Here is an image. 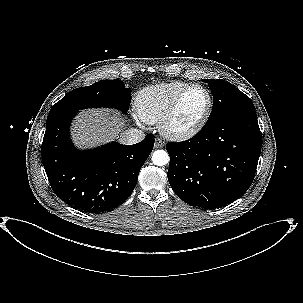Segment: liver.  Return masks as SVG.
<instances>
[{
    "instance_id": "6515ba94",
    "label": "liver",
    "mask_w": 303,
    "mask_h": 303,
    "mask_svg": "<svg viewBox=\"0 0 303 303\" xmlns=\"http://www.w3.org/2000/svg\"><path fill=\"white\" fill-rule=\"evenodd\" d=\"M124 123L120 113L116 111L84 110L76 117L72 128V138L78 147H93L118 138Z\"/></svg>"
}]
</instances>
